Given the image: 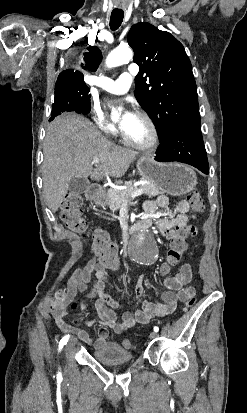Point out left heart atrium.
Wrapping results in <instances>:
<instances>
[{
  "label": "left heart atrium",
  "instance_id": "left-heart-atrium-1",
  "mask_svg": "<svg viewBox=\"0 0 247 413\" xmlns=\"http://www.w3.org/2000/svg\"><path fill=\"white\" fill-rule=\"evenodd\" d=\"M140 120L141 118L138 113L127 110L124 117V132L129 130L131 127L136 126Z\"/></svg>",
  "mask_w": 247,
  "mask_h": 413
}]
</instances>
